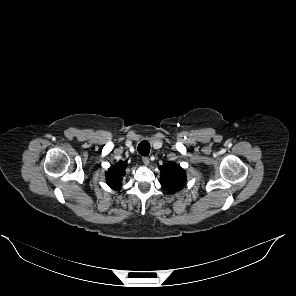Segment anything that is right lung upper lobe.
<instances>
[{
	"instance_id": "obj_1",
	"label": "right lung upper lobe",
	"mask_w": 296,
	"mask_h": 296,
	"mask_svg": "<svg viewBox=\"0 0 296 296\" xmlns=\"http://www.w3.org/2000/svg\"><path fill=\"white\" fill-rule=\"evenodd\" d=\"M125 167L126 163L121 161L108 169V172H106V181L111 188L120 189L122 176L125 174Z\"/></svg>"
}]
</instances>
